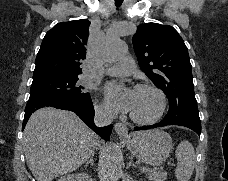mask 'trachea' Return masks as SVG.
Segmentation results:
<instances>
[{
	"mask_svg": "<svg viewBox=\"0 0 228 181\" xmlns=\"http://www.w3.org/2000/svg\"><path fill=\"white\" fill-rule=\"evenodd\" d=\"M123 3V0H115V6L119 8Z\"/></svg>",
	"mask_w": 228,
	"mask_h": 181,
	"instance_id": "1",
	"label": "trachea"
}]
</instances>
